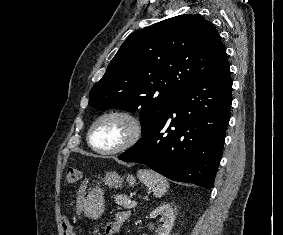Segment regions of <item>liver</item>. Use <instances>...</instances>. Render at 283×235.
Returning a JSON list of instances; mask_svg holds the SVG:
<instances>
[{"mask_svg":"<svg viewBox=\"0 0 283 235\" xmlns=\"http://www.w3.org/2000/svg\"><path fill=\"white\" fill-rule=\"evenodd\" d=\"M87 183H88V181H85V182H84V184L81 186V188H80V190H79V193H81V194L84 193L85 188H86V186H87Z\"/></svg>","mask_w":283,"mask_h":235,"instance_id":"6515ba94","label":"liver"}]
</instances>
